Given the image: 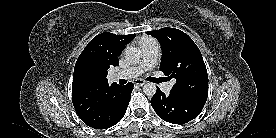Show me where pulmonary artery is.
<instances>
[{
	"label": "pulmonary artery",
	"mask_w": 276,
	"mask_h": 138,
	"mask_svg": "<svg viewBox=\"0 0 276 138\" xmlns=\"http://www.w3.org/2000/svg\"><path fill=\"white\" fill-rule=\"evenodd\" d=\"M142 61L140 64L121 70L113 75L114 79H132L140 76L144 71L153 68L159 58V45L155 40L141 43ZM173 82L163 83L161 88L169 93L173 87Z\"/></svg>",
	"instance_id": "obj_1"
}]
</instances>
